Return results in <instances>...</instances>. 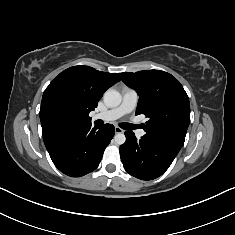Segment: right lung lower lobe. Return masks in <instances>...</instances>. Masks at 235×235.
I'll return each instance as SVG.
<instances>
[{
    "instance_id": "98d812e1",
    "label": "right lung lower lobe",
    "mask_w": 235,
    "mask_h": 235,
    "mask_svg": "<svg viewBox=\"0 0 235 235\" xmlns=\"http://www.w3.org/2000/svg\"><path fill=\"white\" fill-rule=\"evenodd\" d=\"M114 134L111 124L102 128L85 124L60 128L43 135V140L55 166L68 176L80 177L98 167Z\"/></svg>"
}]
</instances>
